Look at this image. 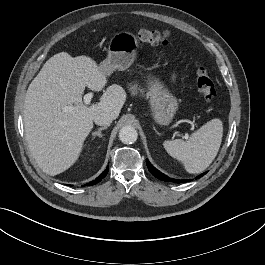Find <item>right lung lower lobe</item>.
<instances>
[{
	"instance_id": "right-lung-lower-lobe-1",
	"label": "right lung lower lobe",
	"mask_w": 265,
	"mask_h": 265,
	"mask_svg": "<svg viewBox=\"0 0 265 265\" xmlns=\"http://www.w3.org/2000/svg\"><path fill=\"white\" fill-rule=\"evenodd\" d=\"M108 170H109V166H107V168L105 169V171L99 177H97L95 180H93L92 182L87 183L84 186H89V185H95V184H97L98 182H100L107 175Z\"/></svg>"
}]
</instances>
